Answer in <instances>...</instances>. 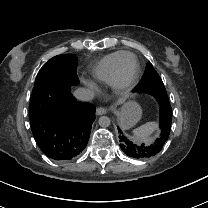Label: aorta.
Instances as JSON below:
<instances>
[{
	"label": "aorta",
	"mask_w": 208,
	"mask_h": 208,
	"mask_svg": "<svg viewBox=\"0 0 208 208\" xmlns=\"http://www.w3.org/2000/svg\"><path fill=\"white\" fill-rule=\"evenodd\" d=\"M98 123L101 127H108L111 123L110 118L107 116H101L98 120Z\"/></svg>",
	"instance_id": "762f6f07"
}]
</instances>
